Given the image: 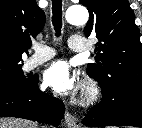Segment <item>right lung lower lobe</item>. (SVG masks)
Masks as SVG:
<instances>
[{
    "instance_id": "98d812e1",
    "label": "right lung lower lobe",
    "mask_w": 142,
    "mask_h": 128,
    "mask_svg": "<svg viewBox=\"0 0 142 128\" xmlns=\"http://www.w3.org/2000/svg\"><path fill=\"white\" fill-rule=\"evenodd\" d=\"M38 77L24 89L0 93V117H18L58 126L64 105L56 97L40 91Z\"/></svg>"
}]
</instances>
